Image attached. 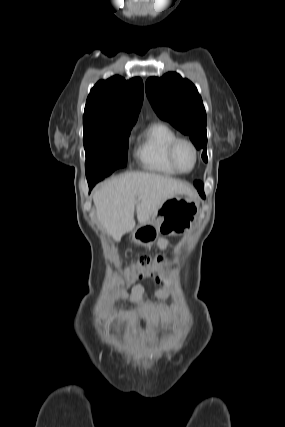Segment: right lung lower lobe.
Instances as JSON below:
<instances>
[{"label":"right lung lower lobe","mask_w":285,"mask_h":427,"mask_svg":"<svg viewBox=\"0 0 285 427\" xmlns=\"http://www.w3.org/2000/svg\"><path fill=\"white\" fill-rule=\"evenodd\" d=\"M103 179H104V178H103ZM100 180H102V179H100ZM100 180L89 181V182H88V184H89V189L91 190V189L93 188V186H94L98 181H100Z\"/></svg>","instance_id":"obj_1"}]
</instances>
